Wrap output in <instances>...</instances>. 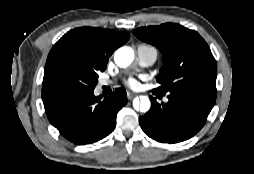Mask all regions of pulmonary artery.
Returning <instances> with one entry per match:
<instances>
[{
  "label": "pulmonary artery",
  "mask_w": 254,
  "mask_h": 174,
  "mask_svg": "<svg viewBox=\"0 0 254 174\" xmlns=\"http://www.w3.org/2000/svg\"><path fill=\"white\" fill-rule=\"evenodd\" d=\"M138 61L142 66H151L157 59V51L155 48L146 45H140L137 49ZM108 80H102L101 85H108Z\"/></svg>",
  "instance_id": "1"
}]
</instances>
